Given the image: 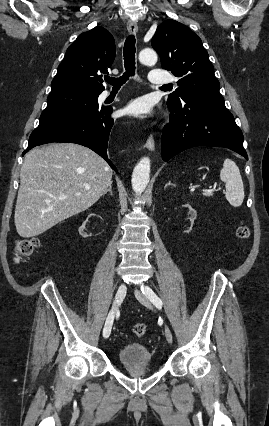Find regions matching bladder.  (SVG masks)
I'll return each mask as SVG.
<instances>
[{
    "label": "bladder",
    "instance_id": "obj_1",
    "mask_svg": "<svg viewBox=\"0 0 269 426\" xmlns=\"http://www.w3.org/2000/svg\"><path fill=\"white\" fill-rule=\"evenodd\" d=\"M118 362L126 369H136L150 365L152 355L143 345L132 343L123 345L117 353Z\"/></svg>",
    "mask_w": 269,
    "mask_h": 426
}]
</instances>
